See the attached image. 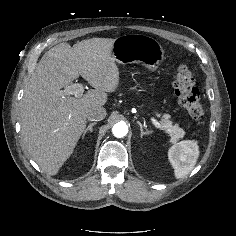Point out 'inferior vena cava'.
Instances as JSON below:
<instances>
[{
  "instance_id": "1",
  "label": "inferior vena cava",
  "mask_w": 236,
  "mask_h": 236,
  "mask_svg": "<svg viewBox=\"0 0 236 236\" xmlns=\"http://www.w3.org/2000/svg\"><path fill=\"white\" fill-rule=\"evenodd\" d=\"M106 117V110L102 106L92 107L86 114L89 121H101Z\"/></svg>"
}]
</instances>
